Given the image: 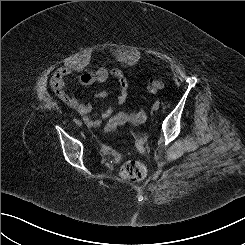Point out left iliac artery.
I'll use <instances>...</instances> for the list:
<instances>
[{
  "instance_id": "obj_1",
  "label": "left iliac artery",
  "mask_w": 245,
  "mask_h": 245,
  "mask_svg": "<svg viewBox=\"0 0 245 245\" xmlns=\"http://www.w3.org/2000/svg\"><path fill=\"white\" fill-rule=\"evenodd\" d=\"M155 103H156V104H158V105L160 104V102H159V101H156Z\"/></svg>"
}]
</instances>
